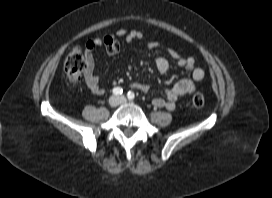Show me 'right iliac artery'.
Returning <instances> with one entry per match:
<instances>
[{
    "label": "right iliac artery",
    "mask_w": 272,
    "mask_h": 198,
    "mask_svg": "<svg viewBox=\"0 0 272 198\" xmlns=\"http://www.w3.org/2000/svg\"><path fill=\"white\" fill-rule=\"evenodd\" d=\"M122 93H123V90L120 87H115L113 89V94H115V95H121Z\"/></svg>",
    "instance_id": "obj_1"
}]
</instances>
